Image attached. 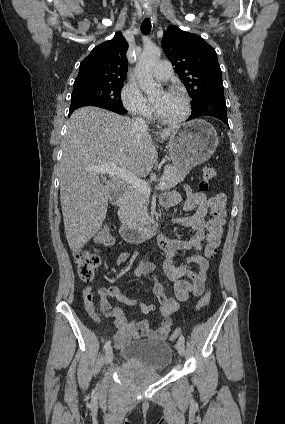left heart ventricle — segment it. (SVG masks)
Instances as JSON below:
<instances>
[{"mask_svg":"<svg viewBox=\"0 0 285 424\" xmlns=\"http://www.w3.org/2000/svg\"><path fill=\"white\" fill-rule=\"evenodd\" d=\"M159 115L165 119L173 120L181 117L185 112V102L177 94L159 93L153 100Z\"/></svg>","mask_w":285,"mask_h":424,"instance_id":"left-heart-ventricle-1","label":"left heart ventricle"}]
</instances>
